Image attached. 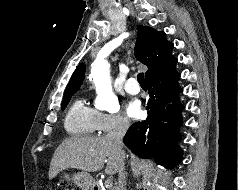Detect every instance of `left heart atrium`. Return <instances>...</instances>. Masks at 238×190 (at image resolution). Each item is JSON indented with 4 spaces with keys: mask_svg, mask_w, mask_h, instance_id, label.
I'll return each instance as SVG.
<instances>
[{
    "mask_svg": "<svg viewBox=\"0 0 238 190\" xmlns=\"http://www.w3.org/2000/svg\"><path fill=\"white\" fill-rule=\"evenodd\" d=\"M127 111H128L130 116H132V117H139L141 115L140 103L138 101H136V100L131 101L128 104Z\"/></svg>",
    "mask_w": 238,
    "mask_h": 190,
    "instance_id": "obj_1",
    "label": "left heart atrium"
}]
</instances>
